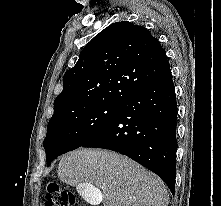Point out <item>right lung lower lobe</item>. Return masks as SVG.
Returning <instances> with one entry per match:
<instances>
[{
  "mask_svg": "<svg viewBox=\"0 0 221 206\" xmlns=\"http://www.w3.org/2000/svg\"><path fill=\"white\" fill-rule=\"evenodd\" d=\"M177 102L170 67L123 104L118 115L81 147L122 153L156 173L175 193Z\"/></svg>",
  "mask_w": 221,
  "mask_h": 206,
  "instance_id": "obj_1",
  "label": "right lung lower lobe"
}]
</instances>
